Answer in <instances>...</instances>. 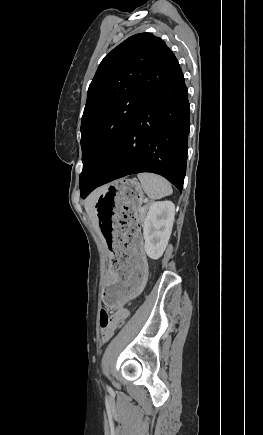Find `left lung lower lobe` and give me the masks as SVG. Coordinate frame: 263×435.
Returning a JSON list of instances; mask_svg holds the SVG:
<instances>
[{
    "label": "left lung lower lobe",
    "instance_id": "obj_1",
    "mask_svg": "<svg viewBox=\"0 0 263 435\" xmlns=\"http://www.w3.org/2000/svg\"><path fill=\"white\" fill-rule=\"evenodd\" d=\"M189 111L188 91L179 66L133 120L109 165L84 198L96 187L140 172L159 174L182 191Z\"/></svg>",
    "mask_w": 263,
    "mask_h": 435
}]
</instances>
